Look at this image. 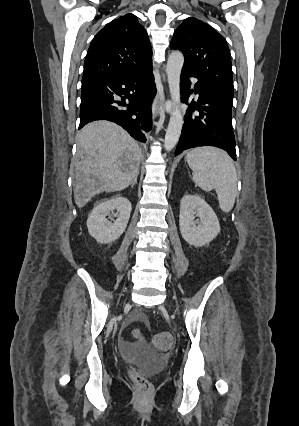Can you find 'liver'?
<instances>
[{
	"mask_svg": "<svg viewBox=\"0 0 299 426\" xmlns=\"http://www.w3.org/2000/svg\"><path fill=\"white\" fill-rule=\"evenodd\" d=\"M141 150L120 126L95 121L77 135L74 199L81 208L96 194L121 191L139 173Z\"/></svg>",
	"mask_w": 299,
	"mask_h": 426,
	"instance_id": "obj_1",
	"label": "liver"
}]
</instances>
